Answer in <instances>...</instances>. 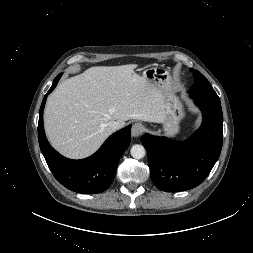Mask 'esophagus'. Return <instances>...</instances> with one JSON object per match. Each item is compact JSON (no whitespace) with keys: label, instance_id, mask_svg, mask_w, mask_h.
Wrapping results in <instances>:
<instances>
[{"label":"esophagus","instance_id":"esophagus-1","mask_svg":"<svg viewBox=\"0 0 253 253\" xmlns=\"http://www.w3.org/2000/svg\"><path fill=\"white\" fill-rule=\"evenodd\" d=\"M143 130H144V127L141 123H134L132 125L131 135L133 137H139L142 134Z\"/></svg>","mask_w":253,"mask_h":253}]
</instances>
